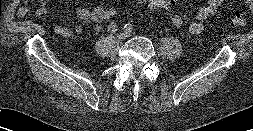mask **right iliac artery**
I'll use <instances>...</instances> for the list:
<instances>
[{
  "label": "right iliac artery",
  "instance_id": "82829eb1",
  "mask_svg": "<svg viewBox=\"0 0 253 131\" xmlns=\"http://www.w3.org/2000/svg\"><path fill=\"white\" fill-rule=\"evenodd\" d=\"M117 30H118V27L115 23L112 22L111 24H109L108 31L110 33H115Z\"/></svg>",
  "mask_w": 253,
  "mask_h": 131
}]
</instances>
